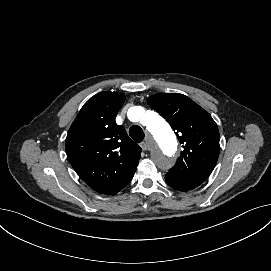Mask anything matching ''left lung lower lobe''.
I'll list each match as a JSON object with an SVG mask.
<instances>
[{
    "instance_id": "obj_1",
    "label": "left lung lower lobe",
    "mask_w": 271,
    "mask_h": 271,
    "mask_svg": "<svg viewBox=\"0 0 271 271\" xmlns=\"http://www.w3.org/2000/svg\"><path fill=\"white\" fill-rule=\"evenodd\" d=\"M165 181L173 189L182 191V192L191 191L203 183L196 180L174 176L169 173H166Z\"/></svg>"
}]
</instances>
